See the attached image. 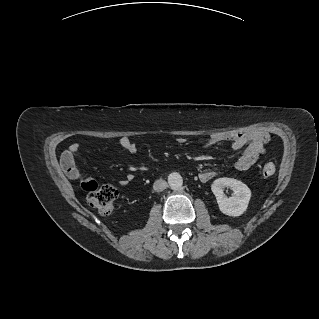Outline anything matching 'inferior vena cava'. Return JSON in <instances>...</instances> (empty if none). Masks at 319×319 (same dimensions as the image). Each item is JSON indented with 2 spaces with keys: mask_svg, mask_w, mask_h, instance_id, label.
<instances>
[{
  "mask_svg": "<svg viewBox=\"0 0 319 319\" xmlns=\"http://www.w3.org/2000/svg\"><path fill=\"white\" fill-rule=\"evenodd\" d=\"M168 187V184L165 180L163 179H157L154 184H153V189L156 192H161L163 190H165Z\"/></svg>",
  "mask_w": 319,
  "mask_h": 319,
  "instance_id": "602c4592",
  "label": "inferior vena cava"
}]
</instances>
